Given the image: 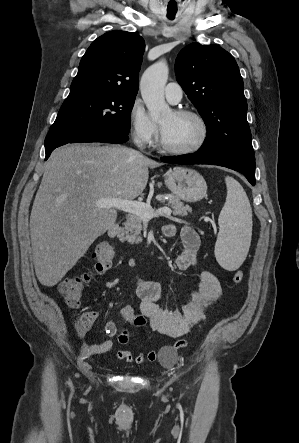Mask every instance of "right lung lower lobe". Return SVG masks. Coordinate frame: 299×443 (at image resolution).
Segmentation results:
<instances>
[{"mask_svg": "<svg viewBox=\"0 0 299 443\" xmlns=\"http://www.w3.org/2000/svg\"><path fill=\"white\" fill-rule=\"evenodd\" d=\"M128 134L115 128L82 130L75 133H48L45 139V160L51 152L67 143L104 142L121 144L128 141Z\"/></svg>", "mask_w": 299, "mask_h": 443, "instance_id": "98d812e1", "label": "right lung lower lobe"}]
</instances>
